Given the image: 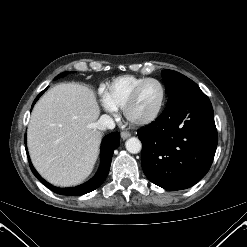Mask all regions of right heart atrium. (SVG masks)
<instances>
[{
  "label": "right heart atrium",
  "instance_id": "1",
  "mask_svg": "<svg viewBox=\"0 0 247 247\" xmlns=\"http://www.w3.org/2000/svg\"><path fill=\"white\" fill-rule=\"evenodd\" d=\"M102 105L104 107L105 110L109 111V112H114L115 109L113 107H111L105 100L104 95H102Z\"/></svg>",
  "mask_w": 247,
  "mask_h": 247
}]
</instances>
